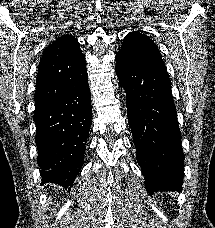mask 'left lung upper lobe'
<instances>
[{"label":"left lung upper lobe","instance_id":"1","mask_svg":"<svg viewBox=\"0 0 215 228\" xmlns=\"http://www.w3.org/2000/svg\"><path fill=\"white\" fill-rule=\"evenodd\" d=\"M118 53L126 58L140 61L161 59L156 44L140 32L127 34Z\"/></svg>","mask_w":215,"mask_h":228}]
</instances>
